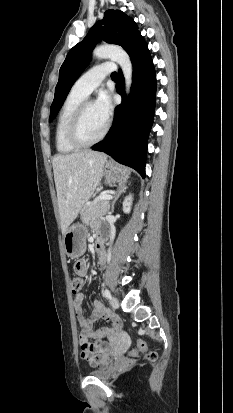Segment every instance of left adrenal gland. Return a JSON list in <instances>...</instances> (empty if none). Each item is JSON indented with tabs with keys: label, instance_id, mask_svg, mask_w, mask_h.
Listing matches in <instances>:
<instances>
[{
	"label": "left adrenal gland",
	"instance_id": "1",
	"mask_svg": "<svg viewBox=\"0 0 233 413\" xmlns=\"http://www.w3.org/2000/svg\"><path fill=\"white\" fill-rule=\"evenodd\" d=\"M126 189H127V183L126 182H123V183L119 184V186L117 187L116 193H115L114 198H113L112 203H111V213L114 211L115 202L117 201V199L120 197V195L122 193L126 192Z\"/></svg>",
	"mask_w": 233,
	"mask_h": 413
}]
</instances>
